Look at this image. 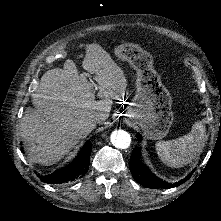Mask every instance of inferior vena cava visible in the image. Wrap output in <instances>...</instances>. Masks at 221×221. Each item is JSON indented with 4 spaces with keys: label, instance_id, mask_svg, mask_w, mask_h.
<instances>
[{
    "label": "inferior vena cava",
    "instance_id": "obj_1",
    "mask_svg": "<svg viewBox=\"0 0 221 221\" xmlns=\"http://www.w3.org/2000/svg\"><path fill=\"white\" fill-rule=\"evenodd\" d=\"M99 118H100L99 114H94V115L90 116L89 120H90L92 125H96Z\"/></svg>",
    "mask_w": 221,
    "mask_h": 221
}]
</instances>
